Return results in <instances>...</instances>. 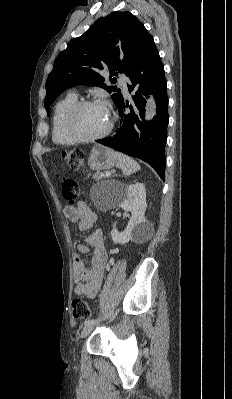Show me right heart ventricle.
<instances>
[{
  "label": "right heart ventricle",
  "mask_w": 232,
  "mask_h": 399,
  "mask_svg": "<svg viewBox=\"0 0 232 399\" xmlns=\"http://www.w3.org/2000/svg\"><path fill=\"white\" fill-rule=\"evenodd\" d=\"M78 102L75 95H68L59 101L53 108L51 119V135L55 144L63 147H72L77 144L65 131L64 121L71 107Z\"/></svg>",
  "instance_id": "1"
}]
</instances>
